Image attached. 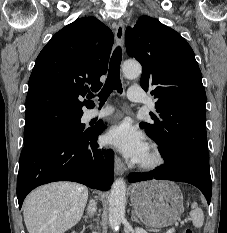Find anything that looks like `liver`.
I'll list each match as a JSON object with an SVG mask.
<instances>
[{
  "label": "liver",
  "mask_w": 227,
  "mask_h": 233,
  "mask_svg": "<svg viewBox=\"0 0 227 233\" xmlns=\"http://www.w3.org/2000/svg\"><path fill=\"white\" fill-rule=\"evenodd\" d=\"M88 188L72 182H55L30 193L23 203L29 233H64L81 219Z\"/></svg>",
  "instance_id": "1"
}]
</instances>
